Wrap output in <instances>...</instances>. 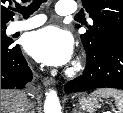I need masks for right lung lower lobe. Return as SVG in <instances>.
I'll return each mask as SVG.
<instances>
[{"label":"right lung lower lobe","instance_id":"1","mask_svg":"<svg viewBox=\"0 0 123 113\" xmlns=\"http://www.w3.org/2000/svg\"><path fill=\"white\" fill-rule=\"evenodd\" d=\"M31 80L32 72L19 45L1 46V89H22Z\"/></svg>","mask_w":123,"mask_h":113}]
</instances>
